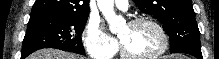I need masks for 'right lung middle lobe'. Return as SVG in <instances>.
<instances>
[{
	"instance_id": "obj_1",
	"label": "right lung middle lobe",
	"mask_w": 219,
	"mask_h": 59,
	"mask_svg": "<svg viewBox=\"0 0 219 59\" xmlns=\"http://www.w3.org/2000/svg\"><path fill=\"white\" fill-rule=\"evenodd\" d=\"M88 15L31 13L23 40L21 59L42 48H56L84 54L81 34Z\"/></svg>"
}]
</instances>
